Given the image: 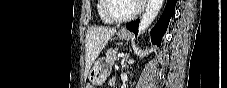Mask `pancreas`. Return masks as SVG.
<instances>
[{
	"instance_id": "pancreas-1",
	"label": "pancreas",
	"mask_w": 227,
	"mask_h": 88,
	"mask_svg": "<svg viewBox=\"0 0 227 88\" xmlns=\"http://www.w3.org/2000/svg\"><path fill=\"white\" fill-rule=\"evenodd\" d=\"M106 59L110 64H114L119 59L117 49H109L106 53Z\"/></svg>"
}]
</instances>
